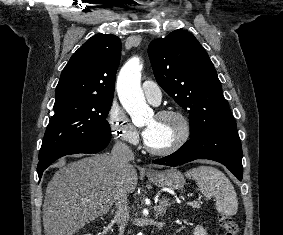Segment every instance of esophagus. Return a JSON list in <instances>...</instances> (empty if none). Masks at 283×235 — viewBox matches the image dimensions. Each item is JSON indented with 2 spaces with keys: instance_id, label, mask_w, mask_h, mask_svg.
<instances>
[{
  "instance_id": "esophagus-1",
  "label": "esophagus",
  "mask_w": 283,
  "mask_h": 235,
  "mask_svg": "<svg viewBox=\"0 0 283 235\" xmlns=\"http://www.w3.org/2000/svg\"><path fill=\"white\" fill-rule=\"evenodd\" d=\"M147 171H151V169H150V168H148V169H147Z\"/></svg>"
}]
</instances>
